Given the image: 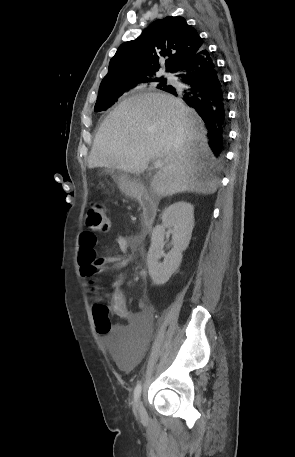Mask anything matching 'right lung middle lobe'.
Wrapping results in <instances>:
<instances>
[{
  "instance_id": "right-lung-middle-lobe-1",
  "label": "right lung middle lobe",
  "mask_w": 295,
  "mask_h": 457,
  "mask_svg": "<svg viewBox=\"0 0 295 457\" xmlns=\"http://www.w3.org/2000/svg\"><path fill=\"white\" fill-rule=\"evenodd\" d=\"M155 82H159V83H155ZM148 85L156 86L157 88H160L162 90H165L169 87V85H167V81L165 78L148 79V80L144 81L141 85H138V86H148ZM138 86H129L127 88L100 91L98 94L97 102L95 104V108H94L95 112H99V111L108 109L115 102H117L118 99L122 95H124L125 93L129 92L131 89L138 87Z\"/></svg>"
}]
</instances>
